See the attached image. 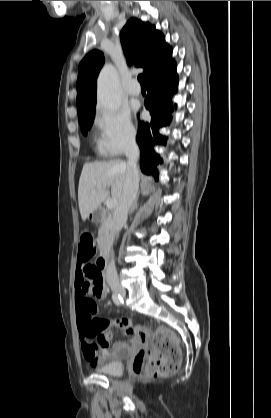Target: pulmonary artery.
<instances>
[{
  "label": "pulmonary artery",
  "instance_id": "e3ab8cb5",
  "mask_svg": "<svg viewBox=\"0 0 271 418\" xmlns=\"http://www.w3.org/2000/svg\"><path fill=\"white\" fill-rule=\"evenodd\" d=\"M127 92L130 96H139L141 93L140 87L135 80H132L127 88Z\"/></svg>",
  "mask_w": 271,
  "mask_h": 418
}]
</instances>
